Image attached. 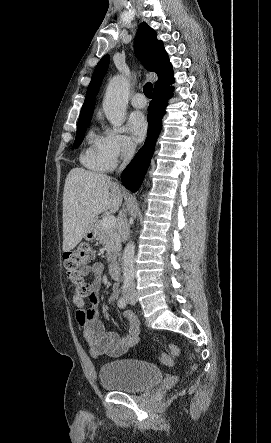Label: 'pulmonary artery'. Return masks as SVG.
<instances>
[{
  "label": "pulmonary artery",
  "mask_w": 271,
  "mask_h": 443,
  "mask_svg": "<svg viewBox=\"0 0 271 443\" xmlns=\"http://www.w3.org/2000/svg\"><path fill=\"white\" fill-rule=\"evenodd\" d=\"M131 104L135 108H144L147 105V99L144 94L136 93L131 98Z\"/></svg>",
  "instance_id": "1"
}]
</instances>
